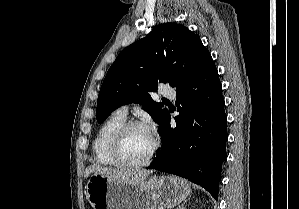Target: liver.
Instances as JSON below:
<instances>
[{"mask_svg":"<svg viewBox=\"0 0 299 209\" xmlns=\"http://www.w3.org/2000/svg\"><path fill=\"white\" fill-rule=\"evenodd\" d=\"M91 173L101 174L115 182L139 183L145 181L151 173V171L139 169H113L93 164L86 168L84 172V177L87 178Z\"/></svg>","mask_w":299,"mask_h":209,"instance_id":"6515ba94","label":"liver"}]
</instances>
